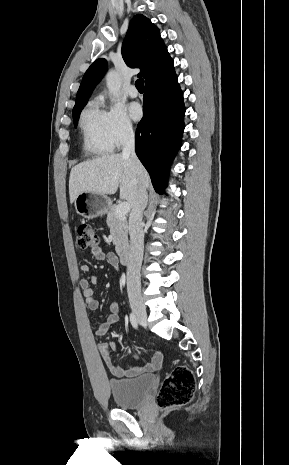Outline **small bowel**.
Segmentation results:
<instances>
[{
	"label": "small bowel",
	"instance_id": "c3829d8e",
	"mask_svg": "<svg viewBox=\"0 0 289 465\" xmlns=\"http://www.w3.org/2000/svg\"><path fill=\"white\" fill-rule=\"evenodd\" d=\"M92 257L98 261H106L111 266L116 267L118 265V258L113 252H105L101 247H95L91 249ZM80 269L83 272L89 271V266L87 264L80 265ZM98 283V279L96 276H91L89 278H81L79 280V285L83 290V294L86 297V304L87 307L91 311H97L99 308V302L94 296V288L93 285ZM118 321V306L116 304H112L110 308V314L107 318L100 322L97 326L96 335L97 336H105L112 325L117 323ZM100 354L109 369V371L116 377H124V376H135L143 371H155L162 366L163 362V355L161 352H156L153 358L146 363L143 368H130L124 369L121 366H118L113 363L109 349H116L117 344L112 342L110 344L101 343L98 346Z\"/></svg>",
	"mask_w": 289,
	"mask_h": 465
}]
</instances>
